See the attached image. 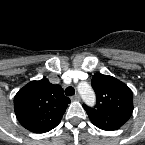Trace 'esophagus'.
I'll return each instance as SVG.
<instances>
[{"label":"esophagus","instance_id":"obj_1","mask_svg":"<svg viewBox=\"0 0 145 145\" xmlns=\"http://www.w3.org/2000/svg\"><path fill=\"white\" fill-rule=\"evenodd\" d=\"M80 95L79 94H75L74 96L71 97V100L73 101H80Z\"/></svg>","mask_w":145,"mask_h":145}]
</instances>
